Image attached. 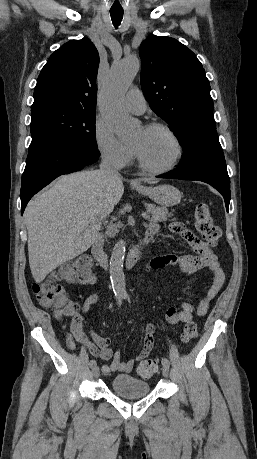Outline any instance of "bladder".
<instances>
[{
  "mask_svg": "<svg viewBox=\"0 0 257 459\" xmlns=\"http://www.w3.org/2000/svg\"><path fill=\"white\" fill-rule=\"evenodd\" d=\"M111 391L127 399L139 398L150 393L147 382L128 374H117L111 381Z\"/></svg>",
  "mask_w": 257,
  "mask_h": 459,
  "instance_id": "obj_1",
  "label": "bladder"
}]
</instances>
